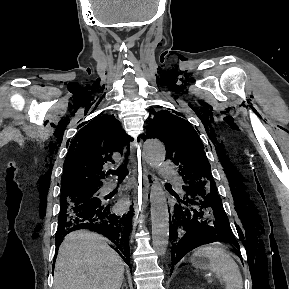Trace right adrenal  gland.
<instances>
[{
  "mask_svg": "<svg viewBox=\"0 0 289 289\" xmlns=\"http://www.w3.org/2000/svg\"><path fill=\"white\" fill-rule=\"evenodd\" d=\"M127 285H126V282H125V280H124V283H123V285H122V288L123 287H126Z\"/></svg>",
  "mask_w": 289,
  "mask_h": 289,
  "instance_id": "obj_1",
  "label": "right adrenal gland"
}]
</instances>
